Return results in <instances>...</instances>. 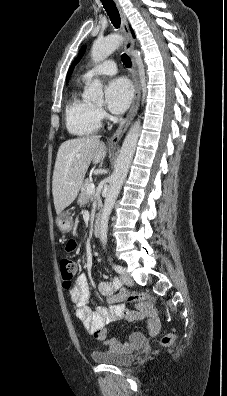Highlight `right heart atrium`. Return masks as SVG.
<instances>
[{"label": "right heart atrium", "mask_w": 227, "mask_h": 396, "mask_svg": "<svg viewBox=\"0 0 227 396\" xmlns=\"http://www.w3.org/2000/svg\"><path fill=\"white\" fill-rule=\"evenodd\" d=\"M97 115H98V117L100 118V119H102V118H104L105 117V112H104V110H102V109H100V108H97Z\"/></svg>", "instance_id": "right-heart-atrium-1"}]
</instances>
